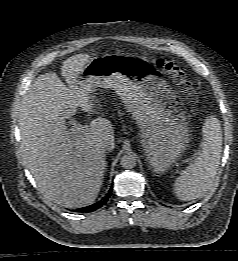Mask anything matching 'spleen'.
I'll return each instance as SVG.
<instances>
[{
	"label": "spleen",
	"instance_id": "obj_1",
	"mask_svg": "<svg viewBox=\"0 0 238 261\" xmlns=\"http://www.w3.org/2000/svg\"><path fill=\"white\" fill-rule=\"evenodd\" d=\"M201 151L182 171L174 183V192L182 201L203 197L213 186L222 152L221 124L214 116L202 127Z\"/></svg>",
	"mask_w": 238,
	"mask_h": 261
}]
</instances>
